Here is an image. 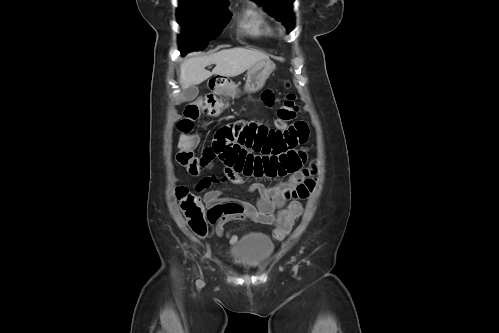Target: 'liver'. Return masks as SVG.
I'll return each mask as SVG.
<instances>
[{"label":"liver","mask_w":499,"mask_h":333,"mask_svg":"<svg viewBox=\"0 0 499 333\" xmlns=\"http://www.w3.org/2000/svg\"><path fill=\"white\" fill-rule=\"evenodd\" d=\"M262 60H269V56L258 50L241 47L223 49L208 56L190 55L180 65L179 82L182 89H186L212 75L235 77ZM211 64L216 65L212 72L205 69Z\"/></svg>","instance_id":"obj_1"}]
</instances>
